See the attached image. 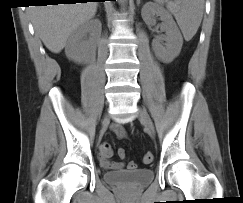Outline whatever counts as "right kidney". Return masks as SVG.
<instances>
[{
    "label": "right kidney",
    "mask_w": 243,
    "mask_h": 203,
    "mask_svg": "<svg viewBox=\"0 0 243 203\" xmlns=\"http://www.w3.org/2000/svg\"><path fill=\"white\" fill-rule=\"evenodd\" d=\"M101 30V22L98 19L86 21L79 25L69 36L65 53L68 59L77 63H83L90 58L93 46L85 40L87 33L96 34Z\"/></svg>",
    "instance_id": "obj_1"
}]
</instances>
